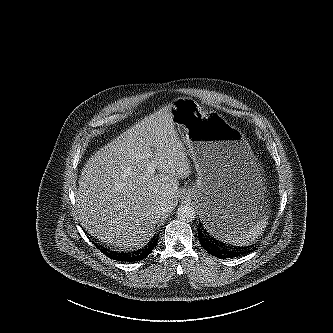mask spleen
<instances>
[{
	"label": "spleen",
	"instance_id": "3e777b00",
	"mask_svg": "<svg viewBox=\"0 0 333 333\" xmlns=\"http://www.w3.org/2000/svg\"><path fill=\"white\" fill-rule=\"evenodd\" d=\"M266 225L267 219L261 218L253 225L230 232L221 239L233 245H249L261 235L262 231L266 228Z\"/></svg>",
	"mask_w": 333,
	"mask_h": 333
}]
</instances>
